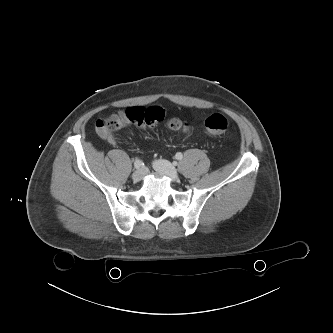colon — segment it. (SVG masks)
Masks as SVG:
<instances>
[{
    "label": "colon",
    "mask_w": 333,
    "mask_h": 333,
    "mask_svg": "<svg viewBox=\"0 0 333 333\" xmlns=\"http://www.w3.org/2000/svg\"><path fill=\"white\" fill-rule=\"evenodd\" d=\"M126 116L123 112H118L100 119L95 124L96 132L102 137H108L111 133L118 130L125 124ZM168 127L173 131H188L189 125L183 123L178 118H171L168 121ZM205 131L210 136H219L226 132L228 128V120L221 114H212L204 123Z\"/></svg>",
    "instance_id": "obj_1"
}]
</instances>
